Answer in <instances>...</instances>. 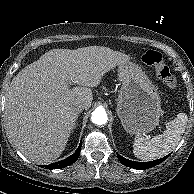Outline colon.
Listing matches in <instances>:
<instances>
[{"instance_id":"1","label":"colon","mask_w":194,"mask_h":194,"mask_svg":"<svg viewBox=\"0 0 194 194\" xmlns=\"http://www.w3.org/2000/svg\"><path fill=\"white\" fill-rule=\"evenodd\" d=\"M142 60L155 68L157 75L169 89L174 90L177 87V80L164 62L160 52L149 50L143 54Z\"/></svg>"}]
</instances>
